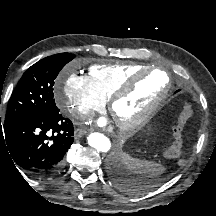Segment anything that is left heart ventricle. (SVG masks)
Here are the masks:
<instances>
[{
    "mask_svg": "<svg viewBox=\"0 0 216 216\" xmlns=\"http://www.w3.org/2000/svg\"><path fill=\"white\" fill-rule=\"evenodd\" d=\"M166 85L167 78L163 73H153L138 85L130 97L116 105L114 118L121 120L136 118L164 90Z\"/></svg>",
    "mask_w": 216,
    "mask_h": 216,
    "instance_id": "left-heart-ventricle-1",
    "label": "left heart ventricle"
}]
</instances>
